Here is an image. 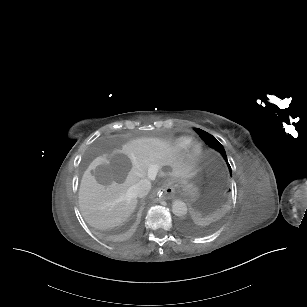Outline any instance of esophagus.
Wrapping results in <instances>:
<instances>
[{"label":"esophagus","mask_w":307,"mask_h":307,"mask_svg":"<svg viewBox=\"0 0 307 307\" xmlns=\"http://www.w3.org/2000/svg\"><path fill=\"white\" fill-rule=\"evenodd\" d=\"M162 192L165 199H171L175 195V189L170 183L165 184L162 188Z\"/></svg>","instance_id":"1"}]
</instances>
